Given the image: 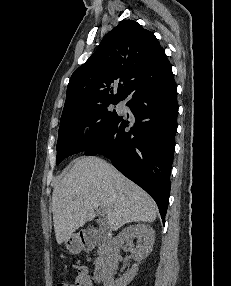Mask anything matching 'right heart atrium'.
Masks as SVG:
<instances>
[{
    "mask_svg": "<svg viewBox=\"0 0 231 286\" xmlns=\"http://www.w3.org/2000/svg\"><path fill=\"white\" fill-rule=\"evenodd\" d=\"M83 134L87 142L93 143L95 140V125L93 123H87L83 127Z\"/></svg>",
    "mask_w": 231,
    "mask_h": 286,
    "instance_id": "obj_1",
    "label": "right heart atrium"
}]
</instances>
